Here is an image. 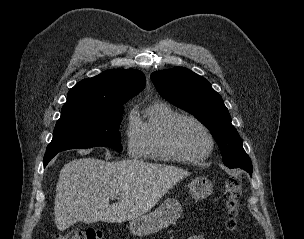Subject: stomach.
<instances>
[{"label": "stomach", "mask_w": 304, "mask_h": 239, "mask_svg": "<svg viewBox=\"0 0 304 239\" xmlns=\"http://www.w3.org/2000/svg\"><path fill=\"white\" fill-rule=\"evenodd\" d=\"M213 185L206 177H196L189 184L191 196L196 200L206 198L212 193ZM182 213L181 204L177 199H166L155 211L130 221V230L136 236H147L167 228Z\"/></svg>", "instance_id": "1"}]
</instances>
